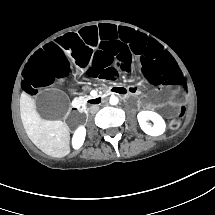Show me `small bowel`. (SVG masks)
<instances>
[{
  "mask_svg": "<svg viewBox=\"0 0 215 215\" xmlns=\"http://www.w3.org/2000/svg\"><path fill=\"white\" fill-rule=\"evenodd\" d=\"M129 90V92L131 94H134L136 92V89L135 88H127Z\"/></svg>",
  "mask_w": 215,
  "mask_h": 215,
  "instance_id": "1",
  "label": "small bowel"
}]
</instances>
